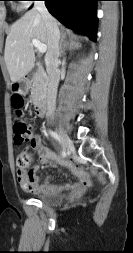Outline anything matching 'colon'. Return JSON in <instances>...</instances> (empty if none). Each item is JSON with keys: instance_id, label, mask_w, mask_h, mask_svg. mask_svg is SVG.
Returning <instances> with one entry per match:
<instances>
[{"instance_id": "colon-1", "label": "colon", "mask_w": 133, "mask_h": 253, "mask_svg": "<svg viewBox=\"0 0 133 253\" xmlns=\"http://www.w3.org/2000/svg\"><path fill=\"white\" fill-rule=\"evenodd\" d=\"M24 101L20 95H14L12 98V106L14 108L13 132L14 142L19 145L30 141L32 139V128L23 119ZM29 163V155L27 153L21 154L17 160V166L24 169Z\"/></svg>"}]
</instances>
